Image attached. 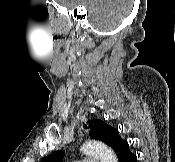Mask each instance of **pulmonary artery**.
Masks as SVG:
<instances>
[{
	"instance_id": "obj_1",
	"label": "pulmonary artery",
	"mask_w": 175,
	"mask_h": 162,
	"mask_svg": "<svg viewBox=\"0 0 175 162\" xmlns=\"http://www.w3.org/2000/svg\"><path fill=\"white\" fill-rule=\"evenodd\" d=\"M78 162H99V160L95 158H86L85 160L78 161Z\"/></svg>"
}]
</instances>
